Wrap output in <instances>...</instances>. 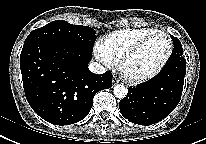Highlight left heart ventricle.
Instances as JSON below:
<instances>
[{
    "mask_svg": "<svg viewBox=\"0 0 206 144\" xmlns=\"http://www.w3.org/2000/svg\"><path fill=\"white\" fill-rule=\"evenodd\" d=\"M169 49L166 37L151 38L126 64V71L132 76H142L154 71L164 60Z\"/></svg>",
    "mask_w": 206,
    "mask_h": 144,
    "instance_id": "1",
    "label": "left heart ventricle"
}]
</instances>
